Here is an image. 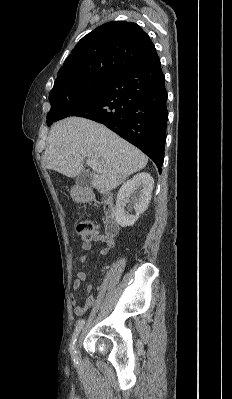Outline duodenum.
I'll use <instances>...</instances> for the list:
<instances>
[{"mask_svg":"<svg viewBox=\"0 0 232 399\" xmlns=\"http://www.w3.org/2000/svg\"><path fill=\"white\" fill-rule=\"evenodd\" d=\"M78 195L83 202H97L103 205L106 218V234L109 237H114L118 232V224L115 218L112 196L109 193L98 192L92 188H81Z\"/></svg>","mask_w":232,"mask_h":399,"instance_id":"410a0bca","label":"duodenum"}]
</instances>
